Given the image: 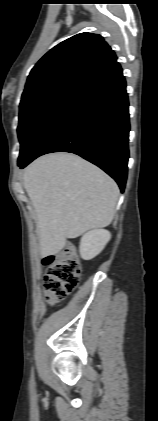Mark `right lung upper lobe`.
I'll return each mask as SVG.
<instances>
[{"instance_id":"obj_1","label":"right lung upper lobe","mask_w":158,"mask_h":421,"mask_svg":"<svg viewBox=\"0 0 158 421\" xmlns=\"http://www.w3.org/2000/svg\"><path fill=\"white\" fill-rule=\"evenodd\" d=\"M117 60L114 51L97 34H77L46 53L31 70L22 97L61 83L83 84Z\"/></svg>"}]
</instances>
